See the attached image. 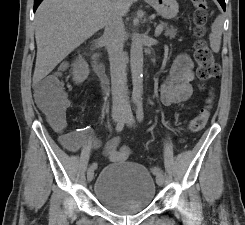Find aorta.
<instances>
[{"mask_svg": "<svg viewBox=\"0 0 245 225\" xmlns=\"http://www.w3.org/2000/svg\"><path fill=\"white\" fill-rule=\"evenodd\" d=\"M130 68L132 74V99L140 102L143 92V46L137 33L133 35L130 49Z\"/></svg>", "mask_w": 245, "mask_h": 225, "instance_id": "aorta-1", "label": "aorta"}]
</instances>
